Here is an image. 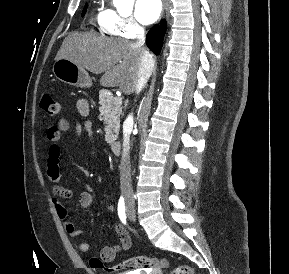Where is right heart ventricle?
<instances>
[{
	"instance_id": "1",
	"label": "right heart ventricle",
	"mask_w": 289,
	"mask_h": 274,
	"mask_svg": "<svg viewBox=\"0 0 289 274\" xmlns=\"http://www.w3.org/2000/svg\"><path fill=\"white\" fill-rule=\"evenodd\" d=\"M108 15V9L99 8L96 10L94 19L97 21L101 29H103L105 32L113 34L111 31H109L106 27V17Z\"/></svg>"
}]
</instances>
